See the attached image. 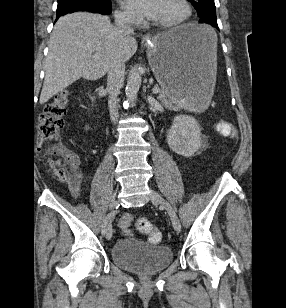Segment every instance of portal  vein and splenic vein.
<instances>
[{
	"mask_svg": "<svg viewBox=\"0 0 286 308\" xmlns=\"http://www.w3.org/2000/svg\"><path fill=\"white\" fill-rule=\"evenodd\" d=\"M93 59H98V55H97V54H94V55H93ZM152 92H153L154 94H157V93L160 92V88H159V87H154V88L152 89Z\"/></svg>",
	"mask_w": 286,
	"mask_h": 308,
	"instance_id": "portal-vein-and-splenic-vein-1",
	"label": "portal vein and splenic vein"
}]
</instances>
